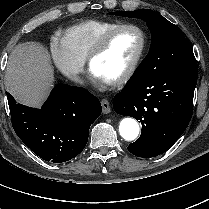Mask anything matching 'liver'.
Masks as SVG:
<instances>
[{
  "label": "liver",
  "mask_w": 209,
  "mask_h": 209,
  "mask_svg": "<svg viewBox=\"0 0 209 209\" xmlns=\"http://www.w3.org/2000/svg\"><path fill=\"white\" fill-rule=\"evenodd\" d=\"M54 82L48 51L39 43L18 44L8 58L5 86L18 102L39 107Z\"/></svg>",
  "instance_id": "obj_1"
}]
</instances>
